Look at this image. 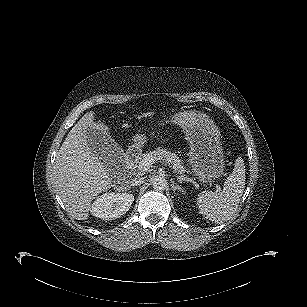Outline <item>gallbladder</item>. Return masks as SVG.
Wrapping results in <instances>:
<instances>
[{
	"mask_svg": "<svg viewBox=\"0 0 307 307\" xmlns=\"http://www.w3.org/2000/svg\"><path fill=\"white\" fill-rule=\"evenodd\" d=\"M86 139L93 154L105 163L108 168L111 167L113 160L122 156V148L110 136H106L97 130H92L87 133Z\"/></svg>",
	"mask_w": 307,
	"mask_h": 307,
	"instance_id": "1",
	"label": "gallbladder"
}]
</instances>
